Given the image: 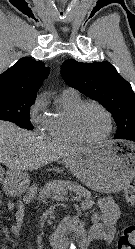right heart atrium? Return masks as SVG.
I'll return each instance as SVG.
<instances>
[{
  "label": "right heart atrium",
  "mask_w": 135,
  "mask_h": 249,
  "mask_svg": "<svg viewBox=\"0 0 135 249\" xmlns=\"http://www.w3.org/2000/svg\"><path fill=\"white\" fill-rule=\"evenodd\" d=\"M44 99L42 96L38 97L30 108V117L33 123L43 127L45 126L46 118L40 115V112L44 108Z\"/></svg>",
  "instance_id": "d8ad5b80"
}]
</instances>
